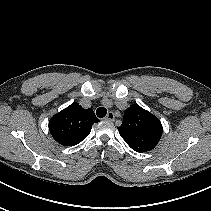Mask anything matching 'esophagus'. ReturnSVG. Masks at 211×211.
Listing matches in <instances>:
<instances>
[{"label":"esophagus","mask_w":211,"mask_h":211,"mask_svg":"<svg viewBox=\"0 0 211 211\" xmlns=\"http://www.w3.org/2000/svg\"><path fill=\"white\" fill-rule=\"evenodd\" d=\"M105 119H106V120H109V121H114V119H115L114 113L111 112V111L108 112V114L106 115Z\"/></svg>","instance_id":"obj_1"}]
</instances>
